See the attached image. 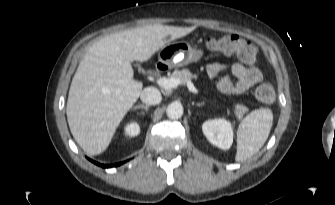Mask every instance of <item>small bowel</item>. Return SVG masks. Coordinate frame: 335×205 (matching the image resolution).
Segmentation results:
<instances>
[{"label": "small bowel", "mask_w": 335, "mask_h": 205, "mask_svg": "<svg viewBox=\"0 0 335 205\" xmlns=\"http://www.w3.org/2000/svg\"><path fill=\"white\" fill-rule=\"evenodd\" d=\"M206 70L210 77L219 78L217 89L225 94H242L263 79L262 72L257 67H246L239 62L231 67L221 62H213Z\"/></svg>", "instance_id": "c3829d8e"}]
</instances>
